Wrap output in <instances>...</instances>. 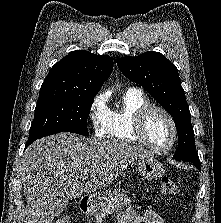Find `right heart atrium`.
<instances>
[{
    "mask_svg": "<svg viewBox=\"0 0 221 223\" xmlns=\"http://www.w3.org/2000/svg\"><path fill=\"white\" fill-rule=\"evenodd\" d=\"M88 115L94 136L104 137L107 134L109 118L105 94H98L93 98Z\"/></svg>",
    "mask_w": 221,
    "mask_h": 223,
    "instance_id": "right-heart-atrium-1",
    "label": "right heart atrium"
}]
</instances>
